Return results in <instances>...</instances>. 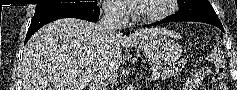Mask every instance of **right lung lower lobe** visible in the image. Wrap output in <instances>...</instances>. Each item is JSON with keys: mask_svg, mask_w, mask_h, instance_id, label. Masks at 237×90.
I'll use <instances>...</instances> for the list:
<instances>
[{"mask_svg": "<svg viewBox=\"0 0 237 90\" xmlns=\"http://www.w3.org/2000/svg\"><path fill=\"white\" fill-rule=\"evenodd\" d=\"M68 17L84 19L91 22H97L99 17V7L97 5L93 7H84V6L67 7L40 15H34L25 38V43L39 28H41L45 24L60 18H68Z\"/></svg>", "mask_w": 237, "mask_h": 90, "instance_id": "right-lung-lower-lobe-1", "label": "right lung lower lobe"}]
</instances>
